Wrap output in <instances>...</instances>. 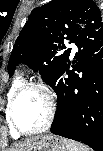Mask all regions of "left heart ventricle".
<instances>
[{"label": "left heart ventricle", "mask_w": 103, "mask_h": 151, "mask_svg": "<svg viewBox=\"0 0 103 151\" xmlns=\"http://www.w3.org/2000/svg\"><path fill=\"white\" fill-rule=\"evenodd\" d=\"M15 119L26 130L41 127L47 116V105L44 96L37 90L25 91L15 105Z\"/></svg>", "instance_id": "left-heart-ventricle-1"}]
</instances>
